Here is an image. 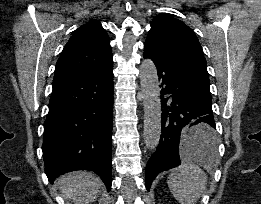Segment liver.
Returning <instances> with one entry per match:
<instances>
[{
	"label": "liver",
	"mask_w": 261,
	"mask_h": 204,
	"mask_svg": "<svg viewBox=\"0 0 261 204\" xmlns=\"http://www.w3.org/2000/svg\"><path fill=\"white\" fill-rule=\"evenodd\" d=\"M57 184L64 198L74 204H89L100 193L99 178L87 171H79L63 175L57 179Z\"/></svg>",
	"instance_id": "liver-1"
}]
</instances>
